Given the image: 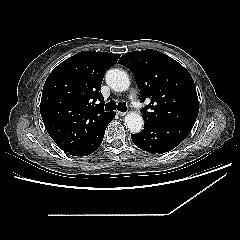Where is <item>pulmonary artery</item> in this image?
Segmentation results:
<instances>
[{"mask_svg": "<svg viewBox=\"0 0 240 240\" xmlns=\"http://www.w3.org/2000/svg\"><path fill=\"white\" fill-rule=\"evenodd\" d=\"M130 100L132 101L133 105H135V106H139L140 105V103L137 100V96L135 94H131L130 95Z\"/></svg>", "mask_w": 240, "mask_h": 240, "instance_id": "e3ab8cb5", "label": "pulmonary artery"}]
</instances>
